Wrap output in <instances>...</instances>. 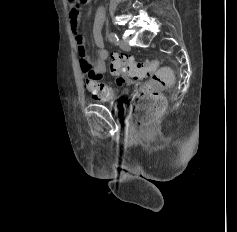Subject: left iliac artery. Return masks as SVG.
<instances>
[{
    "instance_id": "1",
    "label": "left iliac artery",
    "mask_w": 237,
    "mask_h": 232,
    "mask_svg": "<svg viewBox=\"0 0 237 232\" xmlns=\"http://www.w3.org/2000/svg\"><path fill=\"white\" fill-rule=\"evenodd\" d=\"M108 38L111 40V41H114V42H117L119 39L117 37V35L115 33H109L108 34Z\"/></svg>"
}]
</instances>
